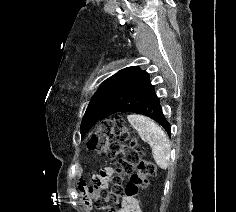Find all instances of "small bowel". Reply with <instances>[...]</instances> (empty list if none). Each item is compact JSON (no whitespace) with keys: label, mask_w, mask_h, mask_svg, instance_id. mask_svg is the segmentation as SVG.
I'll list each match as a JSON object with an SVG mask.
<instances>
[{"label":"small bowel","mask_w":236,"mask_h":212,"mask_svg":"<svg viewBox=\"0 0 236 212\" xmlns=\"http://www.w3.org/2000/svg\"><path fill=\"white\" fill-rule=\"evenodd\" d=\"M83 190V188H81ZM87 207L89 208L90 205L86 202ZM117 212H141L139 203L136 199L131 197H125L122 200L121 208Z\"/></svg>","instance_id":"1"}]
</instances>
